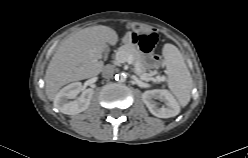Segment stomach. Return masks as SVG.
<instances>
[{
	"mask_svg": "<svg viewBox=\"0 0 248 158\" xmlns=\"http://www.w3.org/2000/svg\"><path fill=\"white\" fill-rule=\"evenodd\" d=\"M127 42H129V44L132 43V42H134V38H133V36H132V33H131V37L128 38ZM132 45H133V44H132ZM144 57H145V61H146V67L149 68V67L153 66V62H152V60H151L152 55L149 54V55L144 56Z\"/></svg>",
	"mask_w": 248,
	"mask_h": 158,
	"instance_id": "obj_1",
	"label": "stomach"
}]
</instances>
